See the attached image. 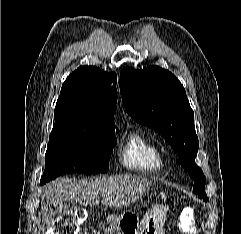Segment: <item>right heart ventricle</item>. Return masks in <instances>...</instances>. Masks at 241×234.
I'll return each mask as SVG.
<instances>
[{"label":"right heart ventricle","instance_id":"right-heart-ventricle-1","mask_svg":"<svg viewBox=\"0 0 241 234\" xmlns=\"http://www.w3.org/2000/svg\"><path fill=\"white\" fill-rule=\"evenodd\" d=\"M118 158L124 168L142 174H155L163 167L159 146L140 130H132L124 137Z\"/></svg>","mask_w":241,"mask_h":234}]
</instances>
